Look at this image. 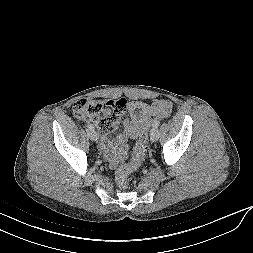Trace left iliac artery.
<instances>
[{"instance_id": "obj_1", "label": "left iliac artery", "mask_w": 253, "mask_h": 253, "mask_svg": "<svg viewBox=\"0 0 253 253\" xmlns=\"http://www.w3.org/2000/svg\"><path fill=\"white\" fill-rule=\"evenodd\" d=\"M160 125V121H155L153 124H152V127L153 128H158Z\"/></svg>"}]
</instances>
